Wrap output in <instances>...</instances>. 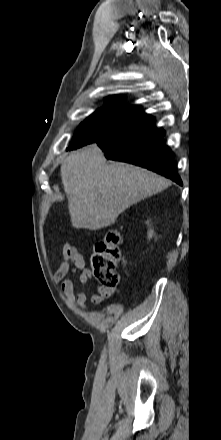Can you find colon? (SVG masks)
Instances as JSON below:
<instances>
[{"label":"colon","instance_id":"5ec220e1","mask_svg":"<svg viewBox=\"0 0 221 440\" xmlns=\"http://www.w3.org/2000/svg\"><path fill=\"white\" fill-rule=\"evenodd\" d=\"M121 242L119 230L112 229L94 245L90 265L96 281L103 288L113 289L118 284L116 269L122 255Z\"/></svg>","mask_w":221,"mask_h":440}]
</instances>
